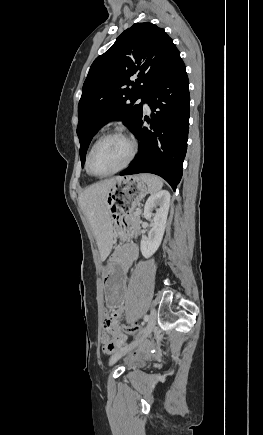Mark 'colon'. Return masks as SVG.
<instances>
[{"label": "colon", "mask_w": 263, "mask_h": 435, "mask_svg": "<svg viewBox=\"0 0 263 435\" xmlns=\"http://www.w3.org/2000/svg\"><path fill=\"white\" fill-rule=\"evenodd\" d=\"M120 325L126 335H140L142 333L141 330L146 327L144 324H126L125 321H121ZM102 341L106 343V340Z\"/></svg>", "instance_id": "colon-1"}]
</instances>
